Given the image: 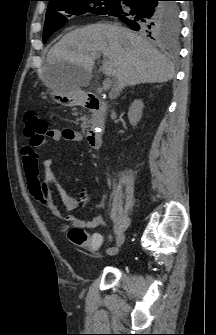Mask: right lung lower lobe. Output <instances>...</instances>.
<instances>
[{"mask_svg":"<svg viewBox=\"0 0 216 335\" xmlns=\"http://www.w3.org/2000/svg\"><path fill=\"white\" fill-rule=\"evenodd\" d=\"M172 0H120L108 15L116 16L132 30L160 36L179 25L178 8Z\"/></svg>","mask_w":216,"mask_h":335,"instance_id":"obj_1","label":"right lung lower lobe"}]
</instances>
